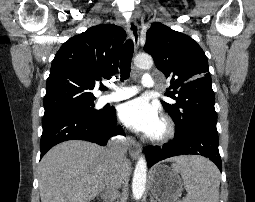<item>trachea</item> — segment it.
Listing matches in <instances>:
<instances>
[{
    "label": "trachea",
    "instance_id": "obj_1",
    "mask_svg": "<svg viewBox=\"0 0 255 202\" xmlns=\"http://www.w3.org/2000/svg\"><path fill=\"white\" fill-rule=\"evenodd\" d=\"M134 52V45L131 39H128L123 47L121 59H120V73L121 81L126 80L130 76L131 60ZM101 90H107L106 87H102Z\"/></svg>",
    "mask_w": 255,
    "mask_h": 202
}]
</instances>
